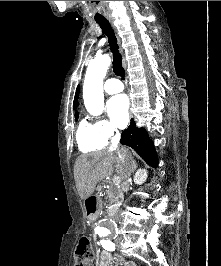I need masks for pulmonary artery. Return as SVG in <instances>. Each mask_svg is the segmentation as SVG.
I'll return each instance as SVG.
<instances>
[{"label": "pulmonary artery", "instance_id": "pulmonary-artery-1", "mask_svg": "<svg viewBox=\"0 0 221 266\" xmlns=\"http://www.w3.org/2000/svg\"><path fill=\"white\" fill-rule=\"evenodd\" d=\"M124 89L123 84L115 78H110L104 83V90L108 94H115L121 92Z\"/></svg>", "mask_w": 221, "mask_h": 266}]
</instances>
